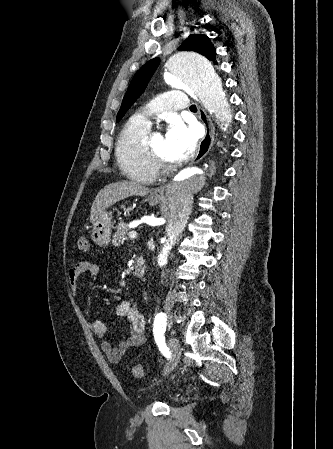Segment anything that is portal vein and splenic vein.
Segmentation results:
<instances>
[{
	"label": "portal vein and splenic vein",
	"instance_id": "obj_1",
	"mask_svg": "<svg viewBox=\"0 0 333 449\" xmlns=\"http://www.w3.org/2000/svg\"><path fill=\"white\" fill-rule=\"evenodd\" d=\"M129 238L134 239L137 237V232L136 231H130L128 234Z\"/></svg>",
	"mask_w": 333,
	"mask_h": 449
}]
</instances>
